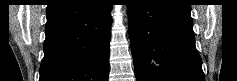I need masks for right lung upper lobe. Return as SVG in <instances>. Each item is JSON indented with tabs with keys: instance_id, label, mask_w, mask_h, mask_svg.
I'll return each mask as SVG.
<instances>
[{
	"instance_id": "cb5924a9",
	"label": "right lung upper lobe",
	"mask_w": 237,
	"mask_h": 81,
	"mask_svg": "<svg viewBox=\"0 0 237 81\" xmlns=\"http://www.w3.org/2000/svg\"><path fill=\"white\" fill-rule=\"evenodd\" d=\"M67 1H70V0H51L50 4L48 5L47 9L48 8H52V7H55V6H58V5H61Z\"/></svg>"
}]
</instances>
